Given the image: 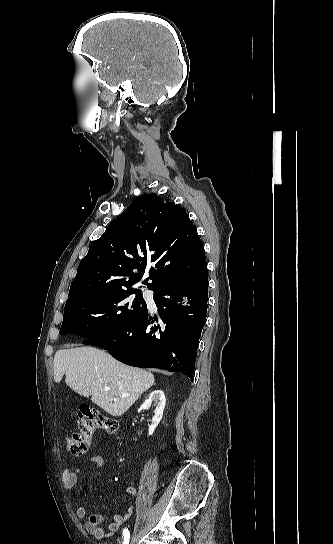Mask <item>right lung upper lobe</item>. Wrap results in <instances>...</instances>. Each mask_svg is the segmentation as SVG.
Listing matches in <instances>:
<instances>
[{
  "label": "right lung upper lobe",
  "instance_id": "right-lung-upper-lobe-1",
  "mask_svg": "<svg viewBox=\"0 0 333 544\" xmlns=\"http://www.w3.org/2000/svg\"><path fill=\"white\" fill-rule=\"evenodd\" d=\"M147 264L152 266L143 284L151 279L148 288L153 291L207 268L204 247L186 212L154 193L136 197L92 243L79 264L67 302L101 292L133 290Z\"/></svg>",
  "mask_w": 333,
  "mask_h": 544
}]
</instances>
